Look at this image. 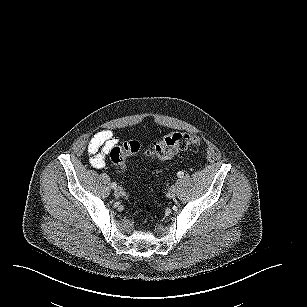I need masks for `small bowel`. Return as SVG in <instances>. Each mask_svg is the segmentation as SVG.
Returning a JSON list of instances; mask_svg holds the SVG:
<instances>
[{
    "mask_svg": "<svg viewBox=\"0 0 307 307\" xmlns=\"http://www.w3.org/2000/svg\"><path fill=\"white\" fill-rule=\"evenodd\" d=\"M119 140L111 130L105 129L96 133L87 145L89 162L96 169L105 166V158L111 149L118 144Z\"/></svg>",
    "mask_w": 307,
    "mask_h": 307,
    "instance_id": "small-bowel-1",
    "label": "small bowel"
}]
</instances>
